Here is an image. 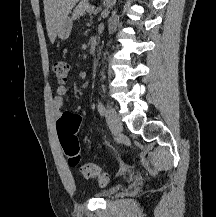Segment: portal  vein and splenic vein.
Listing matches in <instances>:
<instances>
[{
  "label": "portal vein and splenic vein",
  "mask_w": 216,
  "mask_h": 217,
  "mask_svg": "<svg viewBox=\"0 0 216 217\" xmlns=\"http://www.w3.org/2000/svg\"><path fill=\"white\" fill-rule=\"evenodd\" d=\"M87 10H88L89 13H90V12H93V11H94V6H89V7L87 8Z\"/></svg>",
  "instance_id": "portal-vein-and-splenic-vein-1"
}]
</instances>
